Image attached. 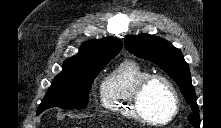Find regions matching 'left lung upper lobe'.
<instances>
[{
	"label": "left lung upper lobe",
	"mask_w": 221,
	"mask_h": 128,
	"mask_svg": "<svg viewBox=\"0 0 221 128\" xmlns=\"http://www.w3.org/2000/svg\"><path fill=\"white\" fill-rule=\"evenodd\" d=\"M125 46L137 57L149 60L164 70L179 86L193 113L188 116L191 124L200 127V115L192 86L189 66L181 51L161 37L149 34L127 36Z\"/></svg>",
	"instance_id": "5c2ea615"
}]
</instances>
